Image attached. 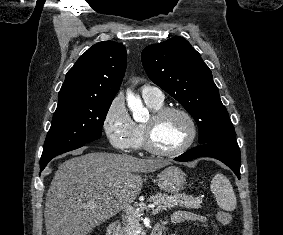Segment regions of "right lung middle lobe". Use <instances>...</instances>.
<instances>
[{"mask_svg": "<svg viewBox=\"0 0 283 235\" xmlns=\"http://www.w3.org/2000/svg\"><path fill=\"white\" fill-rule=\"evenodd\" d=\"M112 100L75 98L58 102L40 162L99 139Z\"/></svg>", "mask_w": 283, "mask_h": 235, "instance_id": "dd1d6c3e", "label": "right lung middle lobe"}]
</instances>
